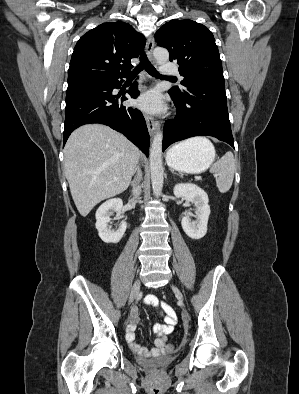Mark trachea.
<instances>
[{"label": "trachea", "instance_id": "1", "mask_svg": "<svg viewBox=\"0 0 299 394\" xmlns=\"http://www.w3.org/2000/svg\"><path fill=\"white\" fill-rule=\"evenodd\" d=\"M143 69H145L150 75L155 76L161 79H175L171 76H162L158 73V71L154 68V66L149 62L145 53H143L140 57V64L133 70L129 79H134Z\"/></svg>", "mask_w": 299, "mask_h": 394}]
</instances>
